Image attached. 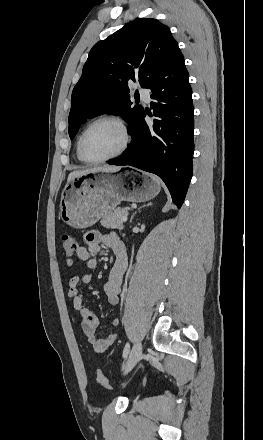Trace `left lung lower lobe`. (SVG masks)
<instances>
[{
    "instance_id": "0a47b994",
    "label": "left lung lower lobe",
    "mask_w": 263,
    "mask_h": 440,
    "mask_svg": "<svg viewBox=\"0 0 263 440\" xmlns=\"http://www.w3.org/2000/svg\"><path fill=\"white\" fill-rule=\"evenodd\" d=\"M151 89L153 123L145 111L130 129L133 140L113 165H130L158 175L168 187L173 203L180 208L192 178L194 112L189 75L177 47L161 67Z\"/></svg>"
}]
</instances>
